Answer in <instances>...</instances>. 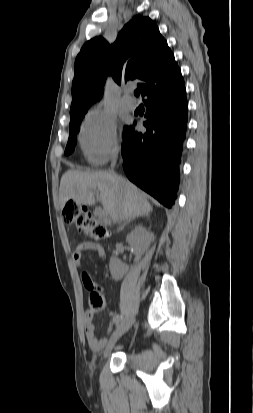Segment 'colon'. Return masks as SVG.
<instances>
[{
	"instance_id": "5ec220e1",
	"label": "colon",
	"mask_w": 253,
	"mask_h": 413,
	"mask_svg": "<svg viewBox=\"0 0 253 413\" xmlns=\"http://www.w3.org/2000/svg\"><path fill=\"white\" fill-rule=\"evenodd\" d=\"M64 220L78 229L86 232L93 239H103L107 236V230L98 225L91 215L80 205L69 201L63 208ZM87 289L88 303L91 311H100L105 308L106 301L97 285L90 284Z\"/></svg>"
}]
</instances>
